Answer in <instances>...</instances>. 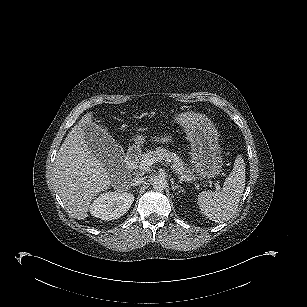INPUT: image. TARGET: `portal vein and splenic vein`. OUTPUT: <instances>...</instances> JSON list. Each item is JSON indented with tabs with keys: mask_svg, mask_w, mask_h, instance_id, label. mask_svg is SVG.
<instances>
[{
	"mask_svg": "<svg viewBox=\"0 0 307 307\" xmlns=\"http://www.w3.org/2000/svg\"><path fill=\"white\" fill-rule=\"evenodd\" d=\"M155 161H157V160H155L154 158L146 157V158H144V159L140 162V164H139V169H140V170H143V171H144V170H148V169L151 167V165L155 163ZM178 174H180V173H178ZM181 177H182V178H185L184 176H181ZM216 185H217V184H216ZM216 188L219 189V186L217 185Z\"/></svg>",
	"mask_w": 307,
	"mask_h": 307,
	"instance_id": "18ae733b",
	"label": "portal vein and splenic vein"
}]
</instances>
